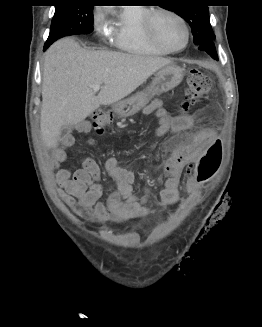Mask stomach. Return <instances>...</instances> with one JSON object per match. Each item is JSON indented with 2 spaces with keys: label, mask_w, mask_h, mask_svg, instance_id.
I'll return each instance as SVG.
<instances>
[{
  "label": "stomach",
  "mask_w": 262,
  "mask_h": 327,
  "mask_svg": "<svg viewBox=\"0 0 262 327\" xmlns=\"http://www.w3.org/2000/svg\"><path fill=\"white\" fill-rule=\"evenodd\" d=\"M184 77L183 69L174 63L161 68L146 90L113 105L114 112L120 117H130L144 108L155 96L167 92L180 84Z\"/></svg>",
  "instance_id": "obj_1"
}]
</instances>
